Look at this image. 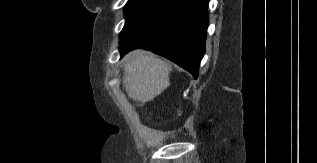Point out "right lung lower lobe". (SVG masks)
<instances>
[{
  "label": "right lung lower lobe",
  "mask_w": 317,
  "mask_h": 163,
  "mask_svg": "<svg viewBox=\"0 0 317 163\" xmlns=\"http://www.w3.org/2000/svg\"><path fill=\"white\" fill-rule=\"evenodd\" d=\"M209 0H177L154 22L120 39L122 53L134 48L166 57L197 78L205 53Z\"/></svg>",
  "instance_id": "obj_1"
}]
</instances>
